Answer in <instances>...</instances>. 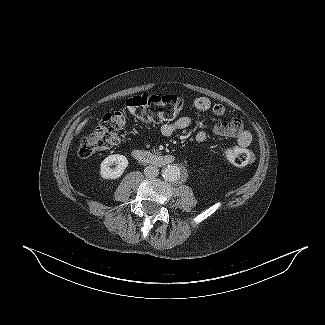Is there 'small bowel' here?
Returning <instances> with one entry per match:
<instances>
[{
  "label": "small bowel",
  "instance_id": "c3829d8e",
  "mask_svg": "<svg viewBox=\"0 0 325 325\" xmlns=\"http://www.w3.org/2000/svg\"><path fill=\"white\" fill-rule=\"evenodd\" d=\"M193 106L199 111H211L216 116L225 114V106L221 103H212L206 97H198L193 101ZM193 118L191 116H182L177 120L164 124L161 127V133L164 136H171L179 130H183L191 126ZM212 132L216 136L234 138L238 146L247 148L252 141L251 133L246 130L238 118H232L229 121L220 122L214 125ZM210 136L206 131L197 132L195 139L198 143H205Z\"/></svg>",
  "mask_w": 325,
  "mask_h": 325
}]
</instances>
